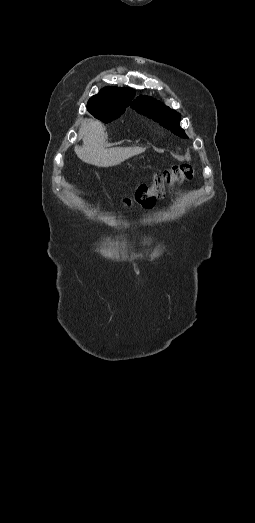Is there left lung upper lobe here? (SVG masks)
<instances>
[{
    "instance_id": "1",
    "label": "left lung upper lobe",
    "mask_w": 255,
    "mask_h": 523,
    "mask_svg": "<svg viewBox=\"0 0 255 523\" xmlns=\"http://www.w3.org/2000/svg\"><path fill=\"white\" fill-rule=\"evenodd\" d=\"M131 107L137 112L143 113L149 118L160 122L161 125L170 129L174 134L187 138L184 130L179 126L181 115L160 101L148 96H140L133 101Z\"/></svg>"
}]
</instances>
